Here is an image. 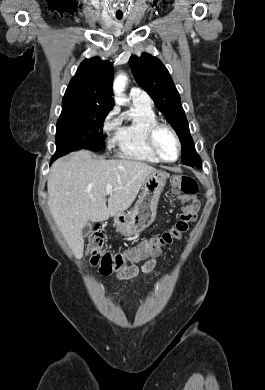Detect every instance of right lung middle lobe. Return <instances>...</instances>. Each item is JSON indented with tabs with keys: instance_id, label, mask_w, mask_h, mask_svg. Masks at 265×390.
<instances>
[{
	"instance_id": "1",
	"label": "right lung middle lobe",
	"mask_w": 265,
	"mask_h": 390,
	"mask_svg": "<svg viewBox=\"0 0 265 390\" xmlns=\"http://www.w3.org/2000/svg\"><path fill=\"white\" fill-rule=\"evenodd\" d=\"M111 109L90 104L62 103V112L56 125V155L72 151L105 148L103 122Z\"/></svg>"
}]
</instances>
